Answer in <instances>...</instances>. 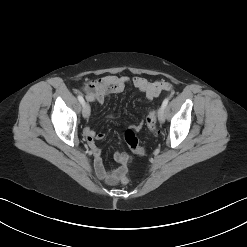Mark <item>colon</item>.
<instances>
[{
  "mask_svg": "<svg viewBox=\"0 0 247 247\" xmlns=\"http://www.w3.org/2000/svg\"><path fill=\"white\" fill-rule=\"evenodd\" d=\"M146 125L149 128L150 131L154 132L156 130V112L150 111L148 115L146 116ZM125 141L129 148L136 153L137 155H143L145 153V149L139 145V141L136 137L135 131L132 128H129L125 131L124 134ZM120 181L123 184H127L129 182V177L126 173H123L120 177Z\"/></svg>",
  "mask_w": 247,
  "mask_h": 247,
  "instance_id": "obj_1",
  "label": "colon"
}]
</instances>
